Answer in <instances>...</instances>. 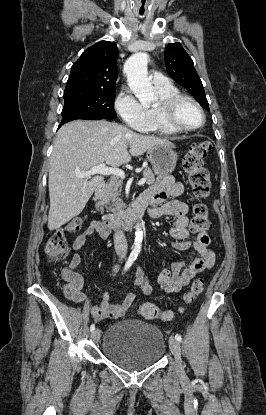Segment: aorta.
I'll list each match as a JSON object with an SVG mask.
<instances>
[{"label": "aorta", "mask_w": 266, "mask_h": 415, "mask_svg": "<svg viewBox=\"0 0 266 415\" xmlns=\"http://www.w3.org/2000/svg\"><path fill=\"white\" fill-rule=\"evenodd\" d=\"M148 54L138 52L128 58L124 64L128 86L143 106L149 105L154 100V90L148 79L147 73ZM134 249L140 251L143 241L141 224L135 226Z\"/></svg>", "instance_id": "aorta-1"}]
</instances>
